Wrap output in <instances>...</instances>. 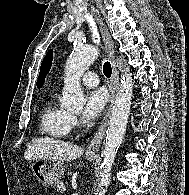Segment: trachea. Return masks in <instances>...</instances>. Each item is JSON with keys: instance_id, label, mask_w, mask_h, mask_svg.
Returning <instances> with one entry per match:
<instances>
[{"instance_id": "3493384b", "label": "trachea", "mask_w": 189, "mask_h": 195, "mask_svg": "<svg viewBox=\"0 0 189 195\" xmlns=\"http://www.w3.org/2000/svg\"><path fill=\"white\" fill-rule=\"evenodd\" d=\"M103 73L106 77H110L112 74V68L110 62H105L103 65Z\"/></svg>"}]
</instances>
